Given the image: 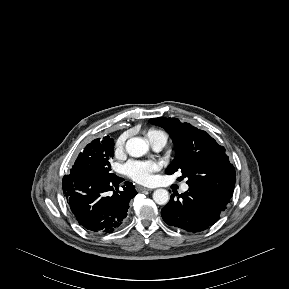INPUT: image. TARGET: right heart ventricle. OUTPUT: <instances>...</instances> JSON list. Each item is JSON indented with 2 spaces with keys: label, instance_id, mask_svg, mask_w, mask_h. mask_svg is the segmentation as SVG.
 <instances>
[{
  "label": "right heart ventricle",
  "instance_id": "e07e8e85",
  "mask_svg": "<svg viewBox=\"0 0 289 289\" xmlns=\"http://www.w3.org/2000/svg\"><path fill=\"white\" fill-rule=\"evenodd\" d=\"M155 134H164V133L156 129H150L147 132V137L149 138L150 136L155 135Z\"/></svg>",
  "mask_w": 289,
  "mask_h": 289
}]
</instances>
